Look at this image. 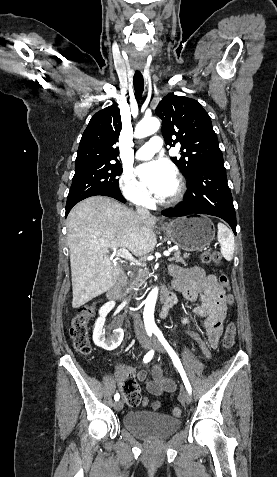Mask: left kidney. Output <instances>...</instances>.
I'll return each mask as SVG.
<instances>
[{
    "mask_svg": "<svg viewBox=\"0 0 277 477\" xmlns=\"http://www.w3.org/2000/svg\"><path fill=\"white\" fill-rule=\"evenodd\" d=\"M182 322H183V324H186V323H188V319H183Z\"/></svg>",
    "mask_w": 277,
    "mask_h": 477,
    "instance_id": "5707ae66",
    "label": "left kidney"
}]
</instances>
